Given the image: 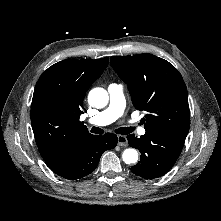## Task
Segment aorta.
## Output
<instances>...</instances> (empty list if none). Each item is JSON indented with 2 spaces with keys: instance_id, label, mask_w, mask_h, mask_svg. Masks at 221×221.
I'll use <instances>...</instances> for the list:
<instances>
[{
  "instance_id": "obj_1",
  "label": "aorta",
  "mask_w": 221,
  "mask_h": 221,
  "mask_svg": "<svg viewBox=\"0 0 221 221\" xmlns=\"http://www.w3.org/2000/svg\"><path fill=\"white\" fill-rule=\"evenodd\" d=\"M109 101L108 93L103 88H94L89 92L88 102L96 108H103ZM122 159L126 164H134L138 160V153L133 148L125 149L122 154Z\"/></svg>"
}]
</instances>
